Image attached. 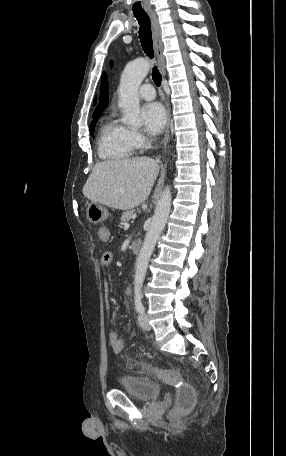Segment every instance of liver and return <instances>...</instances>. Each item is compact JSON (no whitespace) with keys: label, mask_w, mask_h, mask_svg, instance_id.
I'll list each match as a JSON object with an SVG mask.
<instances>
[{"label":"liver","mask_w":286,"mask_h":456,"mask_svg":"<svg viewBox=\"0 0 286 456\" xmlns=\"http://www.w3.org/2000/svg\"><path fill=\"white\" fill-rule=\"evenodd\" d=\"M159 169L158 162L149 157L99 162L87 179L83 194L94 203L130 210L147 199Z\"/></svg>","instance_id":"1"}]
</instances>
